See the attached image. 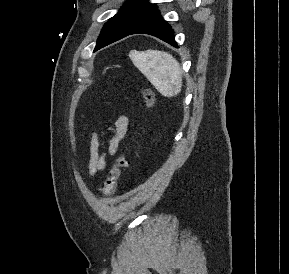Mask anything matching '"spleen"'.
<instances>
[{"mask_svg":"<svg viewBox=\"0 0 289 274\" xmlns=\"http://www.w3.org/2000/svg\"><path fill=\"white\" fill-rule=\"evenodd\" d=\"M133 64L165 97L180 93L182 87V70L178 61L170 54L158 50L144 52L132 51Z\"/></svg>","mask_w":289,"mask_h":274,"instance_id":"obj_1","label":"spleen"}]
</instances>
